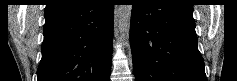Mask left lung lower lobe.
I'll return each instance as SVG.
<instances>
[{
	"instance_id": "left-lung-lower-lobe-1",
	"label": "left lung lower lobe",
	"mask_w": 237,
	"mask_h": 81,
	"mask_svg": "<svg viewBox=\"0 0 237 81\" xmlns=\"http://www.w3.org/2000/svg\"><path fill=\"white\" fill-rule=\"evenodd\" d=\"M130 42L136 81H207L193 6L173 0H135Z\"/></svg>"
}]
</instances>
